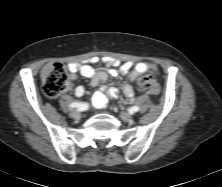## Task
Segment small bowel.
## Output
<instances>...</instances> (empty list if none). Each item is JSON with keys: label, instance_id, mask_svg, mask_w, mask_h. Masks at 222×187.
<instances>
[{"label": "small bowel", "instance_id": "1", "mask_svg": "<svg viewBox=\"0 0 222 187\" xmlns=\"http://www.w3.org/2000/svg\"><path fill=\"white\" fill-rule=\"evenodd\" d=\"M98 57H92L87 63H70L68 68L71 72V78L76 79L77 74L89 78L92 85H98L108 78V76L129 75L130 81H135L140 75L151 70H157V67L147 62L133 63L130 61L120 62L111 57H104L101 61L106 65L102 70H96L91 64L98 63ZM125 83L121 89L117 87H103L97 91L92 98L93 105L98 108H105L108 103V98H118L122 93L126 98L131 99L134 96L132 84ZM85 88L78 85L74 89V94L77 97L84 95Z\"/></svg>", "mask_w": 222, "mask_h": 187}]
</instances>
